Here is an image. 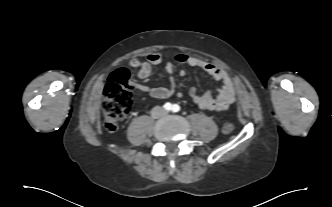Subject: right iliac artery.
Instances as JSON below:
<instances>
[{"instance_id":"82829eb1","label":"right iliac artery","mask_w":332,"mask_h":207,"mask_svg":"<svg viewBox=\"0 0 332 207\" xmlns=\"http://www.w3.org/2000/svg\"><path fill=\"white\" fill-rule=\"evenodd\" d=\"M164 108H165V110H171V108H172L171 103H166V104L164 105Z\"/></svg>"}]
</instances>
